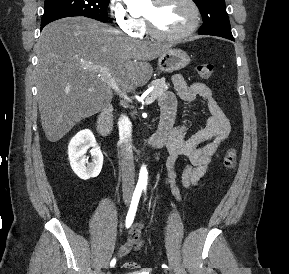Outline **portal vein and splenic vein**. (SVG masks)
Listing matches in <instances>:
<instances>
[{
  "mask_svg": "<svg viewBox=\"0 0 289 274\" xmlns=\"http://www.w3.org/2000/svg\"><path fill=\"white\" fill-rule=\"evenodd\" d=\"M94 70H96L100 76L102 77V79L107 82V84L114 89L117 93H119L122 97H124V99H127L129 101H131V99L122 92V90L120 89L119 85L116 83L115 79L110 75L109 73V69L107 67H101V66H95L93 67ZM155 101V98L153 96L147 97L145 99V104H151Z\"/></svg>",
  "mask_w": 289,
  "mask_h": 274,
  "instance_id": "18ae733b",
  "label": "portal vein and splenic vein"
}]
</instances>
